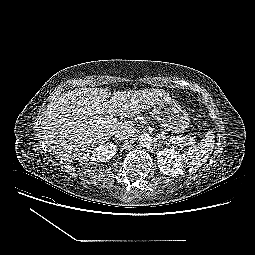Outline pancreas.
<instances>
[{
  "mask_svg": "<svg viewBox=\"0 0 255 255\" xmlns=\"http://www.w3.org/2000/svg\"><path fill=\"white\" fill-rule=\"evenodd\" d=\"M170 139H176L178 143L184 145V146H188V145H194L195 144V140L193 138H191L190 136H176V137H170Z\"/></svg>",
  "mask_w": 255,
  "mask_h": 255,
  "instance_id": "1",
  "label": "pancreas"
}]
</instances>
